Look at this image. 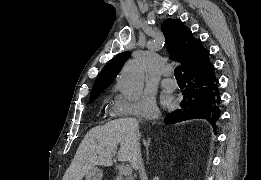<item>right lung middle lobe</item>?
Masks as SVG:
<instances>
[{"label":"right lung middle lobe","instance_id":"1","mask_svg":"<svg viewBox=\"0 0 261 180\" xmlns=\"http://www.w3.org/2000/svg\"><path fill=\"white\" fill-rule=\"evenodd\" d=\"M98 96H95V97H91L90 98V103L93 102Z\"/></svg>","mask_w":261,"mask_h":180}]
</instances>
